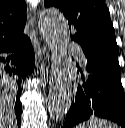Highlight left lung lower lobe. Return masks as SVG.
Here are the masks:
<instances>
[{"label":"left lung lower lobe","mask_w":125,"mask_h":128,"mask_svg":"<svg viewBox=\"0 0 125 128\" xmlns=\"http://www.w3.org/2000/svg\"><path fill=\"white\" fill-rule=\"evenodd\" d=\"M79 72L75 97L63 128H72L92 116L125 128V94L118 59H85L83 70L78 66Z\"/></svg>","instance_id":"1"}]
</instances>
